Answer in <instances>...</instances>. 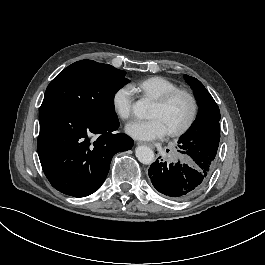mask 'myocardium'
Wrapping results in <instances>:
<instances>
[{"label":"myocardium","mask_w":265,"mask_h":265,"mask_svg":"<svg viewBox=\"0 0 265 265\" xmlns=\"http://www.w3.org/2000/svg\"><path fill=\"white\" fill-rule=\"evenodd\" d=\"M178 97H184L185 99L188 100L190 104V114H189V118L187 122L182 127H180L179 129L167 132V135L169 137H179V136L186 134L194 125L197 119V116H198V112H199V104H198L196 97L191 92L184 90V89H177V90L171 91L168 94L164 95L163 97L159 98L153 104L158 109H164L173 100H175Z\"/></svg>","instance_id":"1"}]
</instances>
